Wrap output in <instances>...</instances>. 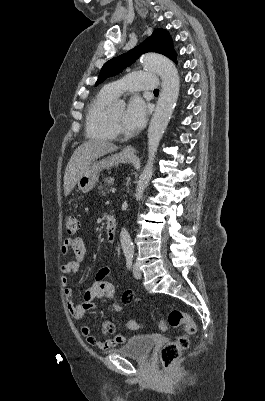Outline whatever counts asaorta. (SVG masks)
Returning a JSON list of instances; mask_svg holds the SVG:
<instances>
[{
  "label": "aorta",
  "mask_w": 265,
  "mask_h": 401,
  "mask_svg": "<svg viewBox=\"0 0 265 401\" xmlns=\"http://www.w3.org/2000/svg\"><path fill=\"white\" fill-rule=\"evenodd\" d=\"M140 62H142L145 68L154 70L156 74L161 76L162 86L155 112L148 126V160L142 170V174H140L135 196H141L143 190H145L152 178L159 142L173 114L180 88L178 70L170 58L152 52V54H143L140 58ZM120 243L124 255H134L133 243L127 229L121 231Z\"/></svg>",
  "instance_id": "762f6f07"
}]
</instances>
